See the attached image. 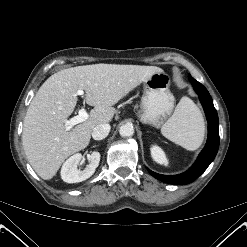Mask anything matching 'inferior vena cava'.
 I'll return each instance as SVG.
<instances>
[{"mask_svg": "<svg viewBox=\"0 0 247 247\" xmlns=\"http://www.w3.org/2000/svg\"><path fill=\"white\" fill-rule=\"evenodd\" d=\"M110 129H111V127L108 123H103V124H99V125L95 126L93 128V131H92L93 139L94 140L104 139L109 134Z\"/></svg>", "mask_w": 247, "mask_h": 247, "instance_id": "obj_1", "label": "inferior vena cava"}]
</instances>
